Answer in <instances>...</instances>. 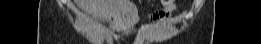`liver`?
I'll return each instance as SVG.
<instances>
[{
	"mask_svg": "<svg viewBox=\"0 0 261 44\" xmlns=\"http://www.w3.org/2000/svg\"><path fill=\"white\" fill-rule=\"evenodd\" d=\"M76 2L83 10L89 11L95 19L110 21L114 16L117 24H132L138 19V11L136 7L132 8L130 0H77ZM138 28V25L124 26L125 30H138Z\"/></svg>",
	"mask_w": 261,
	"mask_h": 44,
	"instance_id": "6515ba94",
	"label": "liver"
}]
</instances>
